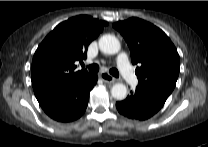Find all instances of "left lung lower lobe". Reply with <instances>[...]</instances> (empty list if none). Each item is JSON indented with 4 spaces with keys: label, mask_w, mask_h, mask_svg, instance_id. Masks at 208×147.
<instances>
[{
    "label": "left lung lower lobe",
    "mask_w": 208,
    "mask_h": 147,
    "mask_svg": "<svg viewBox=\"0 0 208 147\" xmlns=\"http://www.w3.org/2000/svg\"><path fill=\"white\" fill-rule=\"evenodd\" d=\"M167 98L151 87L138 85L125 100L116 103V108L125 117L146 120L161 109Z\"/></svg>",
    "instance_id": "0a47b994"
}]
</instances>
